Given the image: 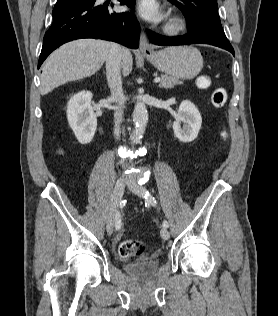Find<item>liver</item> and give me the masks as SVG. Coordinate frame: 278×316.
I'll list each match as a JSON object with an SVG mask.
<instances>
[{
	"mask_svg": "<svg viewBox=\"0 0 278 316\" xmlns=\"http://www.w3.org/2000/svg\"><path fill=\"white\" fill-rule=\"evenodd\" d=\"M112 43L99 39H79L62 45L44 62L41 94L46 95L65 83L95 74L110 54ZM133 59L124 48L121 68L124 76L132 71Z\"/></svg>",
	"mask_w": 278,
	"mask_h": 316,
	"instance_id": "1",
	"label": "liver"
}]
</instances>
